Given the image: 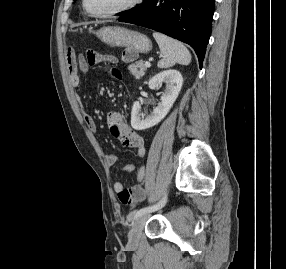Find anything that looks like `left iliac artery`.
<instances>
[{
  "instance_id": "left-iliac-artery-1",
  "label": "left iliac artery",
  "mask_w": 286,
  "mask_h": 269,
  "mask_svg": "<svg viewBox=\"0 0 286 269\" xmlns=\"http://www.w3.org/2000/svg\"><path fill=\"white\" fill-rule=\"evenodd\" d=\"M166 201H167V196L165 195L157 204H155L153 206H149V207H144V208L137 210L134 213V219L138 218L139 216H141L145 213H149V212H152V211H155V210L162 208L166 204Z\"/></svg>"
}]
</instances>
